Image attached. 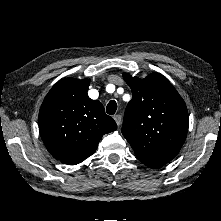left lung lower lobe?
I'll use <instances>...</instances> for the list:
<instances>
[{
  "label": "left lung lower lobe",
  "instance_id": "obj_1",
  "mask_svg": "<svg viewBox=\"0 0 221 221\" xmlns=\"http://www.w3.org/2000/svg\"><path fill=\"white\" fill-rule=\"evenodd\" d=\"M136 157H137L143 164H145L146 166L151 167V168H160V167H162V166L164 165L163 163L151 161V160L145 159V158L140 157V156H136Z\"/></svg>",
  "mask_w": 221,
  "mask_h": 221
}]
</instances>
